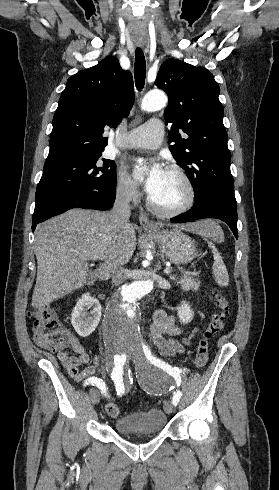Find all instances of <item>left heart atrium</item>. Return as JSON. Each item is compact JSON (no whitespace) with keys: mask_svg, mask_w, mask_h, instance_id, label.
I'll list each match as a JSON object with an SVG mask.
<instances>
[{"mask_svg":"<svg viewBox=\"0 0 279 490\" xmlns=\"http://www.w3.org/2000/svg\"><path fill=\"white\" fill-rule=\"evenodd\" d=\"M166 170L157 160L138 159L134 166V177L140 181L147 195L157 197L164 184Z\"/></svg>","mask_w":279,"mask_h":490,"instance_id":"obj_1","label":"left heart atrium"}]
</instances>
